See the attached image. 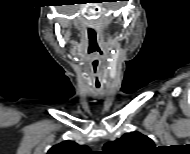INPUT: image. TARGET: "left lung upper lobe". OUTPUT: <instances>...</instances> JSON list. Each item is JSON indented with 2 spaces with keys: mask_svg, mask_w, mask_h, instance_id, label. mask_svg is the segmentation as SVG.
<instances>
[{
  "mask_svg": "<svg viewBox=\"0 0 190 154\" xmlns=\"http://www.w3.org/2000/svg\"><path fill=\"white\" fill-rule=\"evenodd\" d=\"M154 142L139 132L124 134L121 138L106 143L104 154H145L155 149Z\"/></svg>",
  "mask_w": 190,
  "mask_h": 154,
  "instance_id": "obj_1",
  "label": "left lung upper lobe"
}]
</instances>
